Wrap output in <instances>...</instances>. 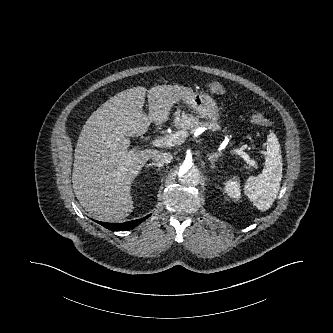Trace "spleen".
I'll return each mask as SVG.
<instances>
[{"mask_svg":"<svg viewBox=\"0 0 333 333\" xmlns=\"http://www.w3.org/2000/svg\"><path fill=\"white\" fill-rule=\"evenodd\" d=\"M265 167L258 176H250L244 185L245 193L255 207L268 210L277 197L282 179V156L278 139L274 133L268 135Z\"/></svg>","mask_w":333,"mask_h":333,"instance_id":"1","label":"spleen"}]
</instances>
